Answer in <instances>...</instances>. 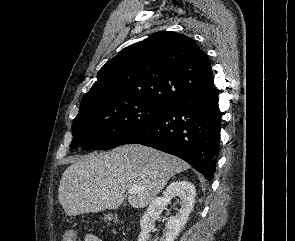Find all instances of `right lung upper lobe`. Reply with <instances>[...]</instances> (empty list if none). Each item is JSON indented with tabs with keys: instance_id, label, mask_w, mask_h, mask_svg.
I'll return each instance as SVG.
<instances>
[{
	"instance_id": "obj_1",
	"label": "right lung upper lobe",
	"mask_w": 295,
	"mask_h": 241,
	"mask_svg": "<svg viewBox=\"0 0 295 241\" xmlns=\"http://www.w3.org/2000/svg\"><path fill=\"white\" fill-rule=\"evenodd\" d=\"M213 80L209 58L193 39L162 31L108 61L84 97L114 91L133 101L165 107L178 97L210 88Z\"/></svg>"
}]
</instances>
